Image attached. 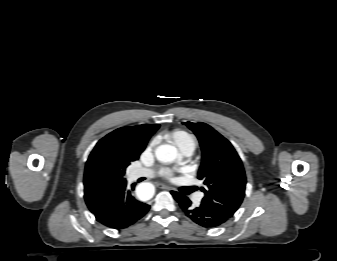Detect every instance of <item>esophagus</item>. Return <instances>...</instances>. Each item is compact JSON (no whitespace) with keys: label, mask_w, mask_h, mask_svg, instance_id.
Segmentation results:
<instances>
[{"label":"esophagus","mask_w":337,"mask_h":261,"mask_svg":"<svg viewBox=\"0 0 337 261\" xmlns=\"http://www.w3.org/2000/svg\"><path fill=\"white\" fill-rule=\"evenodd\" d=\"M158 186H159L161 189L171 190V187H169V186H167V185H164V184H158Z\"/></svg>","instance_id":"obj_1"}]
</instances>
